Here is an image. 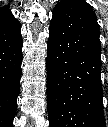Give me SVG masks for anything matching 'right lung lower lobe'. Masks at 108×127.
Returning a JSON list of instances; mask_svg holds the SVG:
<instances>
[{
	"label": "right lung lower lobe",
	"mask_w": 108,
	"mask_h": 127,
	"mask_svg": "<svg viewBox=\"0 0 108 127\" xmlns=\"http://www.w3.org/2000/svg\"><path fill=\"white\" fill-rule=\"evenodd\" d=\"M22 37L13 17L0 21V126L11 127L20 89Z\"/></svg>",
	"instance_id": "right-lung-lower-lobe-1"
}]
</instances>
